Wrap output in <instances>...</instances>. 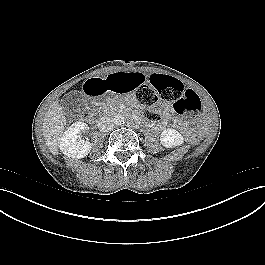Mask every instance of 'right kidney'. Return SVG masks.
<instances>
[{"mask_svg": "<svg viewBox=\"0 0 265 265\" xmlns=\"http://www.w3.org/2000/svg\"><path fill=\"white\" fill-rule=\"evenodd\" d=\"M87 128L84 122L72 124L60 139V151L71 158H84L91 150V143L82 139L78 140V134Z\"/></svg>", "mask_w": 265, "mask_h": 265, "instance_id": "1", "label": "right kidney"}]
</instances>
